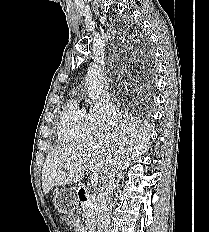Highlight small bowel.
Wrapping results in <instances>:
<instances>
[{
    "label": "small bowel",
    "instance_id": "small-bowel-1",
    "mask_svg": "<svg viewBox=\"0 0 209 232\" xmlns=\"http://www.w3.org/2000/svg\"><path fill=\"white\" fill-rule=\"evenodd\" d=\"M74 232H85L84 226L80 223V221L73 222Z\"/></svg>",
    "mask_w": 209,
    "mask_h": 232
}]
</instances>
